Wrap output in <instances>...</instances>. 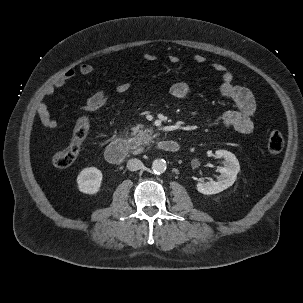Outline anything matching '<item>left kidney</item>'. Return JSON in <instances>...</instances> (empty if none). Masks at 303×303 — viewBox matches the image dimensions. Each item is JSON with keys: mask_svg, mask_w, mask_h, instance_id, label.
<instances>
[{"mask_svg": "<svg viewBox=\"0 0 303 303\" xmlns=\"http://www.w3.org/2000/svg\"><path fill=\"white\" fill-rule=\"evenodd\" d=\"M215 155L224 159V167L219 168L220 176L217 180L197 184L198 192L204 195L217 194L229 188L235 182L240 171L239 161L233 153L227 150H217Z\"/></svg>", "mask_w": 303, "mask_h": 303, "instance_id": "5707ae66", "label": "left kidney"}]
</instances>
